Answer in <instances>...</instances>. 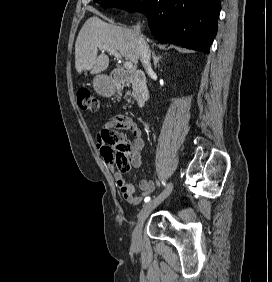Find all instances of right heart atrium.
<instances>
[{
	"label": "right heart atrium",
	"instance_id": "obj_1",
	"mask_svg": "<svg viewBox=\"0 0 272 282\" xmlns=\"http://www.w3.org/2000/svg\"><path fill=\"white\" fill-rule=\"evenodd\" d=\"M125 4H132L134 0H123Z\"/></svg>",
	"mask_w": 272,
	"mask_h": 282
}]
</instances>
